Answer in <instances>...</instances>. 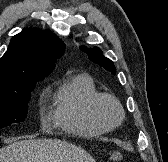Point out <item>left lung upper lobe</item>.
Wrapping results in <instances>:
<instances>
[{
	"mask_svg": "<svg viewBox=\"0 0 168 162\" xmlns=\"http://www.w3.org/2000/svg\"><path fill=\"white\" fill-rule=\"evenodd\" d=\"M80 49L85 53H87L88 58L91 61H93L94 63H97L101 67L105 68L107 71H110L113 75L116 74L114 63L110 59L104 57L99 48L97 47L87 48L85 46H81Z\"/></svg>",
	"mask_w": 168,
	"mask_h": 162,
	"instance_id": "1",
	"label": "left lung upper lobe"
}]
</instances>
